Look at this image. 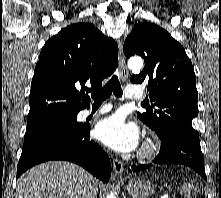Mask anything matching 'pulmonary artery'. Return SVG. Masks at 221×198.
Listing matches in <instances>:
<instances>
[{"mask_svg":"<svg viewBox=\"0 0 221 198\" xmlns=\"http://www.w3.org/2000/svg\"><path fill=\"white\" fill-rule=\"evenodd\" d=\"M126 96L129 99H141L142 96H143V93L139 88H137L135 86H128L126 88ZM110 109H111V106H103L99 110H97L95 112V114L96 115H101V114L107 113L108 111H110ZM91 114H92V111L90 109H85V110L82 111V116L83 117H88Z\"/></svg>","mask_w":221,"mask_h":198,"instance_id":"obj_1","label":"pulmonary artery"}]
</instances>
